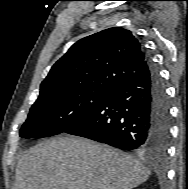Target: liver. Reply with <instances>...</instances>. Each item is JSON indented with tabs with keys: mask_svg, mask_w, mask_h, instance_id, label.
Returning <instances> with one entry per match:
<instances>
[{
	"mask_svg": "<svg viewBox=\"0 0 188 189\" xmlns=\"http://www.w3.org/2000/svg\"><path fill=\"white\" fill-rule=\"evenodd\" d=\"M150 173L139 160L117 149L64 136L22 154L13 189H132Z\"/></svg>",
	"mask_w": 188,
	"mask_h": 189,
	"instance_id": "liver-1",
	"label": "liver"
}]
</instances>
